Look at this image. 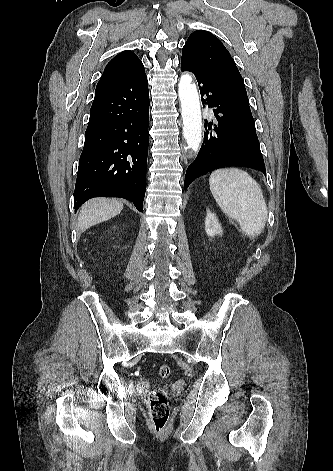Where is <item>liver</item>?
I'll list each match as a JSON object with an SVG mask.
<instances>
[{"label": "liver", "mask_w": 333, "mask_h": 471, "mask_svg": "<svg viewBox=\"0 0 333 471\" xmlns=\"http://www.w3.org/2000/svg\"><path fill=\"white\" fill-rule=\"evenodd\" d=\"M123 203L116 199L95 198L86 202L78 217V230L84 232L91 226L107 221L118 215Z\"/></svg>", "instance_id": "1"}]
</instances>
